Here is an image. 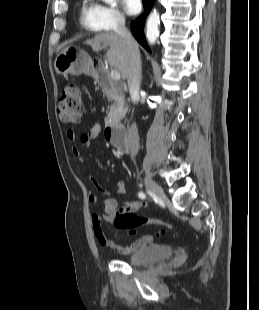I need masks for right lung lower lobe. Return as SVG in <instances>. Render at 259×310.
I'll return each mask as SVG.
<instances>
[{
    "mask_svg": "<svg viewBox=\"0 0 259 310\" xmlns=\"http://www.w3.org/2000/svg\"><path fill=\"white\" fill-rule=\"evenodd\" d=\"M154 2L155 0H143L144 15L139 16L134 22L131 23L134 37L147 51H150V47L147 45L144 36V24L146 15L150 12Z\"/></svg>",
    "mask_w": 259,
    "mask_h": 310,
    "instance_id": "obj_1",
    "label": "right lung lower lobe"
}]
</instances>
